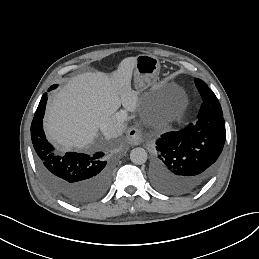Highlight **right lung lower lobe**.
<instances>
[{
  "label": "right lung lower lobe",
  "mask_w": 259,
  "mask_h": 259,
  "mask_svg": "<svg viewBox=\"0 0 259 259\" xmlns=\"http://www.w3.org/2000/svg\"><path fill=\"white\" fill-rule=\"evenodd\" d=\"M46 102L47 93H44L31 124V139L37 154L39 173L57 196L73 204L90 203L107 192L112 167L107 163L103 152L94 155L55 153L53 146L46 140L42 127Z\"/></svg>",
  "instance_id": "obj_1"
}]
</instances>
